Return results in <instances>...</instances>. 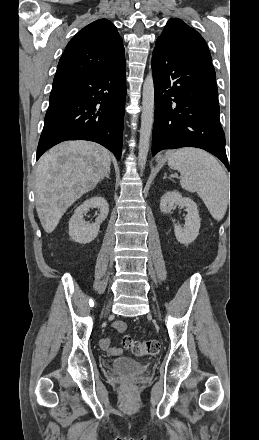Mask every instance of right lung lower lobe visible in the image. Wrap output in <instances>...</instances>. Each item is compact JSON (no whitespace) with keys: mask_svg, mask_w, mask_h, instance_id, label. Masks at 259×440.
Here are the masks:
<instances>
[{"mask_svg":"<svg viewBox=\"0 0 259 440\" xmlns=\"http://www.w3.org/2000/svg\"><path fill=\"white\" fill-rule=\"evenodd\" d=\"M125 60L100 72L53 82L37 157L66 140H89L122 153Z\"/></svg>","mask_w":259,"mask_h":440,"instance_id":"right-lung-lower-lobe-1","label":"right lung lower lobe"}]
</instances>
